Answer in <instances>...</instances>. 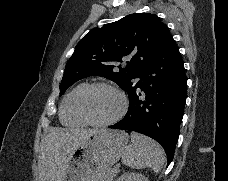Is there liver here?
Segmentation results:
<instances>
[{
	"label": "liver",
	"instance_id": "1",
	"mask_svg": "<svg viewBox=\"0 0 228 181\" xmlns=\"http://www.w3.org/2000/svg\"><path fill=\"white\" fill-rule=\"evenodd\" d=\"M95 131L103 133L104 129H52L42 141L38 157L39 181H62L71 153Z\"/></svg>",
	"mask_w": 228,
	"mask_h": 181
}]
</instances>
